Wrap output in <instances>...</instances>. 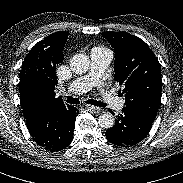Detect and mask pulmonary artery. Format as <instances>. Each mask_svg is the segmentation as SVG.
Segmentation results:
<instances>
[{
    "instance_id": "pulmonary-artery-1",
    "label": "pulmonary artery",
    "mask_w": 183,
    "mask_h": 183,
    "mask_svg": "<svg viewBox=\"0 0 183 183\" xmlns=\"http://www.w3.org/2000/svg\"><path fill=\"white\" fill-rule=\"evenodd\" d=\"M112 59V54L109 50L95 48L91 52V67L89 72L75 79L67 88V91L72 94H82L87 92L92 87L96 86L108 67ZM103 101L113 109L121 110L124 107L125 101L116 96L102 92Z\"/></svg>"
}]
</instances>
